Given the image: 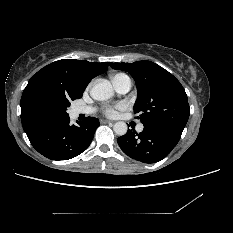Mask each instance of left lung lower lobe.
I'll return each mask as SVG.
<instances>
[{"label": "left lung lower lobe", "instance_id": "left-lung-lower-lobe-1", "mask_svg": "<svg viewBox=\"0 0 233 233\" xmlns=\"http://www.w3.org/2000/svg\"><path fill=\"white\" fill-rule=\"evenodd\" d=\"M182 132L144 125L142 132L134 129L117 139L121 150L143 163H154L165 158L180 140Z\"/></svg>", "mask_w": 233, "mask_h": 233}]
</instances>
